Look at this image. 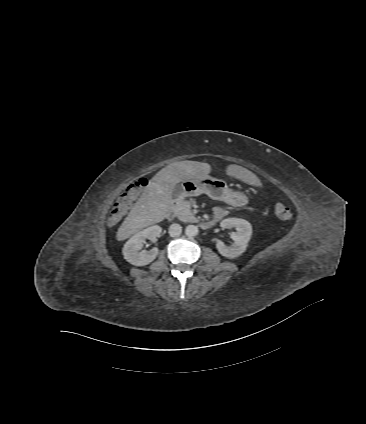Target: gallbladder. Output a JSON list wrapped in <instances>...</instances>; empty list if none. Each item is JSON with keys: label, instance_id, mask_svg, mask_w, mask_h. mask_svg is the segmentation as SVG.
I'll use <instances>...</instances> for the list:
<instances>
[{"label": "gallbladder", "instance_id": "gallbladder-1", "mask_svg": "<svg viewBox=\"0 0 366 424\" xmlns=\"http://www.w3.org/2000/svg\"><path fill=\"white\" fill-rule=\"evenodd\" d=\"M180 195H182V189H181V186H177L175 189H174V197H179Z\"/></svg>", "mask_w": 366, "mask_h": 424}]
</instances>
